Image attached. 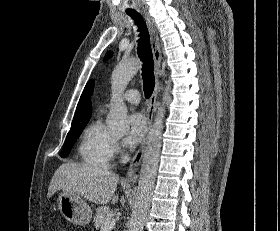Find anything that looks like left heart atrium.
I'll list each match as a JSON object with an SVG mask.
<instances>
[{
	"mask_svg": "<svg viewBox=\"0 0 280 231\" xmlns=\"http://www.w3.org/2000/svg\"><path fill=\"white\" fill-rule=\"evenodd\" d=\"M147 130L145 118L140 113H134L128 119V132L124 138V145L136 147L143 139Z\"/></svg>",
	"mask_w": 280,
	"mask_h": 231,
	"instance_id": "obj_1",
	"label": "left heart atrium"
}]
</instances>
